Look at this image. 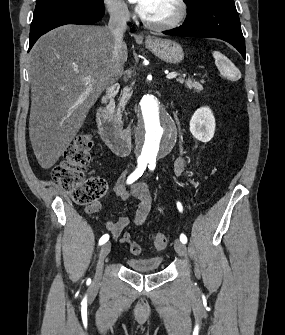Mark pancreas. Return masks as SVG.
Returning <instances> with one entry per match:
<instances>
[{
  "mask_svg": "<svg viewBox=\"0 0 285 335\" xmlns=\"http://www.w3.org/2000/svg\"><path fill=\"white\" fill-rule=\"evenodd\" d=\"M177 82H180V84H185V86H187V88H190V90L194 88L196 92H201V90H204L202 84H199V82H195V80H191V78H187V80H184V78H177ZM129 90H131V88H129ZM130 96H132V92H126V94H123L120 100V104H118L115 110L114 116H116V118H119V120L121 118V112H123L127 104V100H130Z\"/></svg>",
  "mask_w": 285,
  "mask_h": 335,
  "instance_id": "1",
  "label": "pancreas"
}]
</instances>
